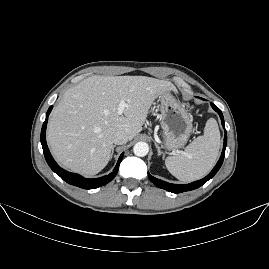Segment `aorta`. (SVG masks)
I'll return each instance as SVG.
<instances>
[{
	"mask_svg": "<svg viewBox=\"0 0 269 269\" xmlns=\"http://www.w3.org/2000/svg\"><path fill=\"white\" fill-rule=\"evenodd\" d=\"M149 147L147 143L137 142L133 147V153L138 157H144L147 155Z\"/></svg>",
	"mask_w": 269,
	"mask_h": 269,
	"instance_id": "1",
	"label": "aorta"
}]
</instances>
